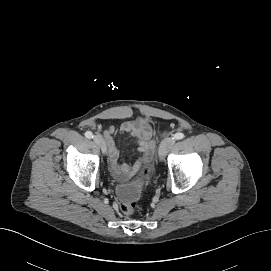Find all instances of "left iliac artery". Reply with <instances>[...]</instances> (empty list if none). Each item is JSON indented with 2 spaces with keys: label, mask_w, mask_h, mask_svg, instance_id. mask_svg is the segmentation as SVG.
I'll return each mask as SVG.
<instances>
[{
  "label": "left iliac artery",
  "mask_w": 271,
  "mask_h": 271,
  "mask_svg": "<svg viewBox=\"0 0 271 271\" xmlns=\"http://www.w3.org/2000/svg\"><path fill=\"white\" fill-rule=\"evenodd\" d=\"M184 137H185V135H184L183 133H176V134L174 135V138H175L176 140L183 139Z\"/></svg>",
  "instance_id": "obj_1"
}]
</instances>
